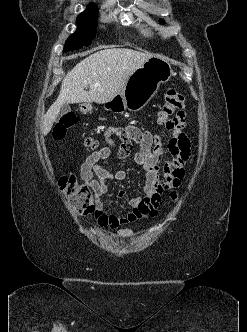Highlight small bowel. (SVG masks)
Instances as JSON below:
<instances>
[{
	"mask_svg": "<svg viewBox=\"0 0 247 332\" xmlns=\"http://www.w3.org/2000/svg\"><path fill=\"white\" fill-rule=\"evenodd\" d=\"M184 126L183 121L178 128L174 129L173 136L168 143V151L171 153L172 159L162 167L159 165V158L163 154V147L159 136L132 125L110 127L107 130L108 145L89 155L80 169L81 179L94 193L95 217L99 226L115 230L123 225L157 214L162 195L177 188L185 175L184 166L190 156V142L183 132ZM112 134L121 139L120 145L116 146L112 141ZM134 144L138 147L137 151H134ZM113 148L116 149V157L119 160L132 156L134 162L146 172L144 194L130 199L131 210L126 215L107 213L101 200L108 191L110 181H122L126 177L123 170L116 169L110 172L100 164L112 156ZM124 195V191L118 193L119 197Z\"/></svg>",
	"mask_w": 247,
	"mask_h": 332,
	"instance_id": "c3829d8e",
	"label": "small bowel"
}]
</instances>
